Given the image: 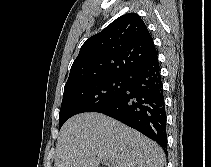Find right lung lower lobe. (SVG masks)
I'll return each mask as SVG.
<instances>
[{"mask_svg": "<svg viewBox=\"0 0 211 167\" xmlns=\"http://www.w3.org/2000/svg\"><path fill=\"white\" fill-rule=\"evenodd\" d=\"M126 87L95 112L138 130L167 152L166 111L158 58L125 75Z\"/></svg>", "mask_w": 211, "mask_h": 167, "instance_id": "1", "label": "right lung lower lobe"}]
</instances>
